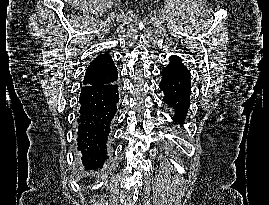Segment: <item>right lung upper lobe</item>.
I'll list each match as a JSON object with an SVG mask.
<instances>
[{
	"mask_svg": "<svg viewBox=\"0 0 269 205\" xmlns=\"http://www.w3.org/2000/svg\"><path fill=\"white\" fill-rule=\"evenodd\" d=\"M118 77L116 66L111 56L102 54L97 56L87 67L84 76V85H103L114 82Z\"/></svg>",
	"mask_w": 269,
	"mask_h": 205,
	"instance_id": "1",
	"label": "right lung upper lobe"
}]
</instances>
